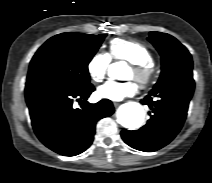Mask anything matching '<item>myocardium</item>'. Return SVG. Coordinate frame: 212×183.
I'll use <instances>...</instances> for the list:
<instances>
[{"instance_id": "obj_1", "label": "myocardium", "mask_w": 212, "mask_h": 183, "mask_svg": "<svg viewBox=\"0 0 212 183\" xmlns=\"http://www.w3.org/2000/svg\"><path fill=\"white\" fill-rule=\"evenodd\" d=\"M130 68L135 75V81L138 86L140 88H146L154 76L153 65L147 63H131Z\"/></svg>"}]
</instances>
